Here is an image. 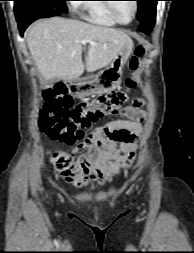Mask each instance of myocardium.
<instances>
[{"label": "myocardium", "instance_id": "obj_1", "mask_svg": "<svg viewBox=\"0 0 194 253\" xmlns=\"http://www.w3.org/2000/svg\"><path fill=\"white\" fill-rule=\"evenodd\" d=\"M109 2L106 3V6L110 12V14L112 15V17L120 24H129L130 22H132L134 20V18L136 17V14L138 12V2L136 0H133L134 3V12L132 17L128 20V21H123L117 14L116 9L114 7V3L112 2V0H108Z\"/></svg>", "mask_w": 194, "mask_h": 253}]
</instances>
